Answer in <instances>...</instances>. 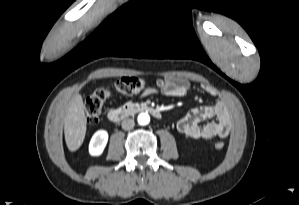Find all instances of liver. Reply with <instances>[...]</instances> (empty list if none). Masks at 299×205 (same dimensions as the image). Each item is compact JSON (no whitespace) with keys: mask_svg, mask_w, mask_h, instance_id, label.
I'll use <instances>...</instances> for the list:
<instances>
[{"mask_svg":"<svg viewBox=\"0 0 299 205\" xmlns=\"http://www.w3.org/2000/svg\"><path fill=\"white\" fill-rule=\"evenodd\" d=\"M86 134V116L83 99L74 95L64 120V135L68 149L76 151L83 143Z\"/></svg>","mask_w":299,"mask_h":205,"instance_id":"6515ba94","label":"liver"}]
</instances>
